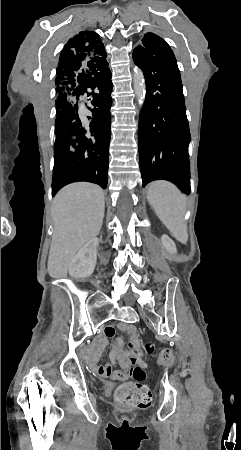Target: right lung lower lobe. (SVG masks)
I'll list each match as a JSON object with an SVG mask.
<instances>
[{"label":"right lung lower lobe","mask_w":241,"mask_h":450,"mask_svg":"<svg viewBox=\"0 0 241 450\" xmlns=\"http://www.w3.org/2000/svg\"><path fill=\"white\" fill-rule=\"evenodd\" d=\"M61 83L60 88L64 92L57 101L64 106L55 121L52 195L63 186L77 181L96 183L105 189L111 137L110 94L113 87L108 63L106 61L95 68L70 75ZM88 88L92 92H88ZM84 93L92 98L93 108L88 109L94 118L89 125H82L78 116L77 101Z\"/></svg>","instance_id":"right-lung-lower-lobe-1"}]
</instances>
